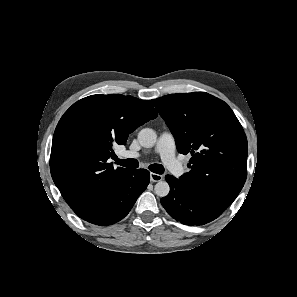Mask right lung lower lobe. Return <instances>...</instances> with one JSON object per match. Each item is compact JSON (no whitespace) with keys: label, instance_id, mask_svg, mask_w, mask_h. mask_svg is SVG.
Here are the masks:
<instances>
[{"label":"right lung lower lobe","instance_id":"right-lung-lower-lobe-1","mask_svg":"<svg viewBox=\"0 0 297 297\" xmlns=\"http://www.w3.org/2000/svg\"><path fill=\"white\" fill-rule=\"evenodd\" d=\"M150 173L146 169H132L103 199L95 210L82 218L97 225H110L124 218L139 195L147 188Z\"/></svg>","mask_w":297,"mask_h":297}]
</instances>
